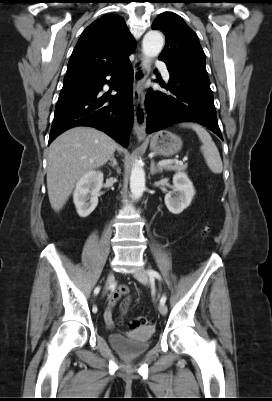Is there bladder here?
<instances>
[{"instance_id": "31cf9c89", "label": "bladder", "mask_w": 272, "mask_h": 401, "mask_svg": "<svg viewBox=\"0 0 272 401\" xmlns=\"http://www.w3.org/2000/svg\"><path fill=\"white\" fill-rule=\"evenodd\" d=\"M153 326H142L126 333H114L109 336L112 348L124 357L132 358L145 354L150 347V338L154 334Z\"/></svg>"}]
</instances>
